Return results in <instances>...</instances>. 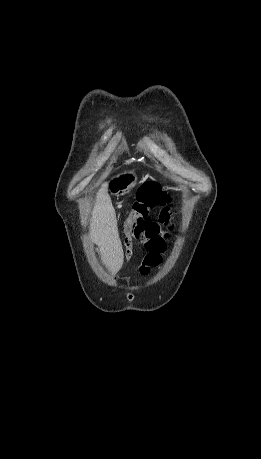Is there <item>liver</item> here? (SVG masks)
<instances>
[{"label": "liver", "instance_id": "liver-1", "mask_svg": "<svg viewBox=\"0 0 261 459\" xmlns=\"http://www.w3.org/2000/svg\"><path fill=\"white\" fill-rule=\"evenodd\" d=\"M107 185L99 190L92 212L90 236L98 246L103 264L115 275L122 267L124 256L115 222L111 215V206L107 201Z\"/></svg>", "mask_w": 261, "mask_h": 459}]
</instances>
